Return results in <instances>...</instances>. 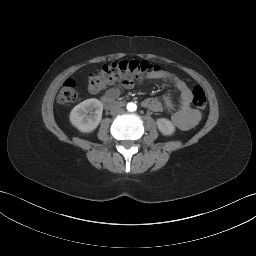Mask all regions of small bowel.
<instances>
[{"label":"small bowel","instance_id":"c3829d8e","mask_svg":"<svg viewBox=\"0 0 256 256\" xmlns=\"http://www.w3.org/2000/svg\"><path fill=\"white\" fill-rule=\"evenodd\" d=\"M151 78H159L165 80L179 92L180 105L177 110L174 108L172 96L167 93L164 96V104L169 111L172 112L171 119L175 126L181 130H189L200 121V113L191 107L192 93L188 85L180 78L169 72H159ZM138 81L134 79H123L115 81L106 90L105 95L111 98H118L124 91L131 90L135 87ZM142 105L154 112L162 110L161 102L156 98H146Z\"/></svg>","mask_w":256,"mask_h":256}]
</instances>
